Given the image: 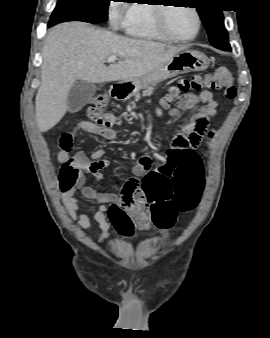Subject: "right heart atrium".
Instances as JSON below:
<instances>
[{"mask_svg":"<svg viewBox=\"0 0 270 338\" xmlns=\"http://www.w3.org/2000/svg\"><path fill=\"white\" fill-rule=\"evenodd\" d=\"M129 9L125 4H113L109 9L111 24L114 27H123L128 21Z\"/></svg>","mask_w":270,"mask_h":338,"instance_id":"right-heart-atrium-1","label":"right heart atrium"}]
</instances>
